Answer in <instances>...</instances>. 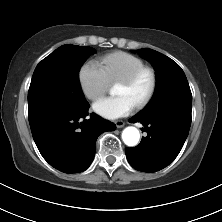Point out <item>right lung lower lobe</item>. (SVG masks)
<instances>
[{
    "label": "right lung lower lobe",
    "instance_id": "right-lung-lower-lobe-1",
    "mask_svg": "<svg viewBox=\"0 0 222 222\" xmlns=\"http://www.w3.org/2000/svg\"><path fill=\"white\" fill-rule=\"evenodd\" d=\"M89 104L76 110H42L29 114L33 139L43 158L64 173L85 171L95 154L98 136L116 125L92 113Z\"/></svg>",
    "mask_w": 222,
    "mask_h": 222
}]
</instances>
